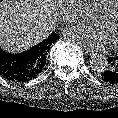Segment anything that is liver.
I'll return each instance as SVG.
<instances>
[{
	"label": "liver",
	"instance_id": "obj_1",
	"mask_svg": "<svg viewBox=\"0 0 118 118\" xmlns=\"http://www.w3.org/2000/svg\"><path fill=\"white\" fill-rule=\"evenodd\" d=\"M55 0H3L0 47L22 52L46 39L56 28Z\"/></svg>",
	"mask_w": 118,
	"mask_h": 118
}]
</instances>
